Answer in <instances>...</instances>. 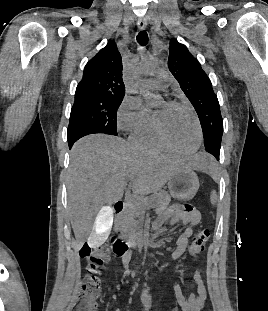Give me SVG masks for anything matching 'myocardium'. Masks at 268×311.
Here are the masks:
<instances>
[{"instance_id":"myocardium-1","label":"myocardium","mask_w":268,"mask_h":311,"mask_svg":"<svg viewBox=\"0 0 268 311\" xmlns=\"http://www.w3.org/2000/svg\"><path fill=\"white\" fill-rule=\"evenodd\" d=\"M167 104L170 106L185 109L186 111H188L191 114V116L193 117L194 122L196 124V128H197V133H198L197 142H196L195 146L191 150H188V151H184V150H181V149L175 147L173 144H171L168 141V139L164 135L160 121H159L158 117L154 114V126H155V131H156L157 137L159 138L161 143L166 148H168L174 152H177L181 155H192V154H194L200 148V146L202 144V140H203V131H202L200 120H199L196 112L190 106H188L182 102H179V101H169V102H167Z\"/></svg>"}]
</instances>
